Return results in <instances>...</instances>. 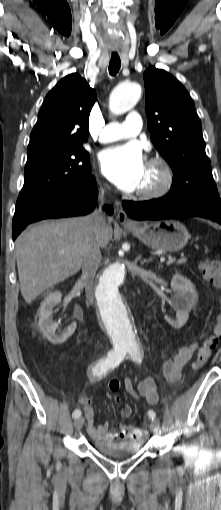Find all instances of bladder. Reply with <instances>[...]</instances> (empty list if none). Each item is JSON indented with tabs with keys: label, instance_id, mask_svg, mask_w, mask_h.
<instances>
[{
	"label": "bladder",
	"instance_id": "obj_1",
	"mask_svg": "<svg viewBox=\"0 0 221 510\" xmlns=\"http://www.w3.org/2000/svg\"><path fill=\"white\" fill-rule=\"evenodd\" d=\"M95 449L111 458H125L137 453L141 445L137 440L133 441H96L94 440Z\"/></svg>",
	"mask_w": 221,
	"mask_h": 510
}]
</instances>
